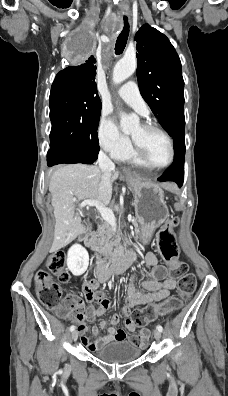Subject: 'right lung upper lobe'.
Listing matches in <instances>:
<instances>
[{"label": "right lung upper lobe", "instance_id": "cb5924a9", "mask_svg": "<svg viewBox=\"0 0 228 396\" xmlns=\"http://www.w3.org/2000/svg\"><path fill=\"white\" fill-rule=\"evenodd\" d=\"M95 63L96 59L91 55L82 64L61 70L56 75L53 85L70 86L82 94L99 98L95 83Z\"/></svg>", "mask_w": 228, "mask_h": 396}]
</instances>
